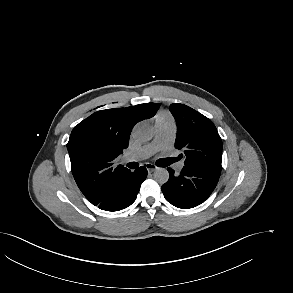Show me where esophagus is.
<instances>
[{
    "label": "esophagus",
    "mask_w": 293,
    "mask_h": 293,
    "mask_svg": "<svg viewBox=\"0 0 293 293\" xmlns=\"http://www.w3.org/2000/svg\"><path fill=\"white\" fill-rule=\"evenodd\" d=\"M145 167L149 172H153L158 169L157 166H155L154 164H151V163H146Z\"/></svg>",
    "instance_id": "1"
}]
</instances>
